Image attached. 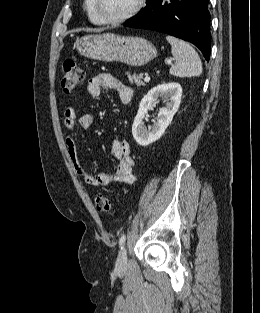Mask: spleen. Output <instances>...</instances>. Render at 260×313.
Instances as JSON below:
<instances>
[{"label":"spleen","mask_w":260,"mask_h":313,"mask_svg":"<svg viewBox=\"0 0 260 313\" xmlns=\"http://www.w3.org/2000/svg\"><path fill=\"white\" fill-rule=\"evenodd\" d=\"M166 40L171 44L172 55L176 59L170 68V74L176 77H194L202 73V63L198 53L187 42L167 35Z\"/></svg>","instance_id":"obj_1"}]
</instances>
